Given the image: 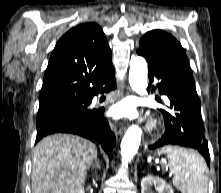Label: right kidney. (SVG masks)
Instances as JSON below:
<instances>
[{
  "label": "right kidney",
  "instance_id": "1",
  "mask_svg": "<svg viewBox=\"0 0 221 193\" xmlns=\"http://www.w3.org/2000/svg\"><path fill=\"white\" fill-rule=\"evenodd\" d=\"M76 193H85L83 187L81 186L80 189Z\"/></svg>",
  "mask_w": 221,
  "mask_h": 193
}]
</instances>
